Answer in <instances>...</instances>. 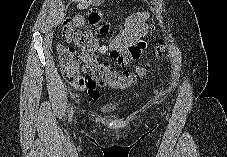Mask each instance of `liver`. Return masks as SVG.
Segmentation results:
<instances>
[{
    "mask_svg": "<svg viewBox=\"0 0 227 157\" xmlns=\"http://www.w3.org/2000/svg\"><path fill=\"white\" fill-rule=\"evenodd\" d=\"M87 4H89V3H91V0H89V1H85Z\"/></svg>",
    "mask_w": 227,
    "mask_h": 157,
    "instance_id": "1",
    "label": "liver"
}]
</instances>
